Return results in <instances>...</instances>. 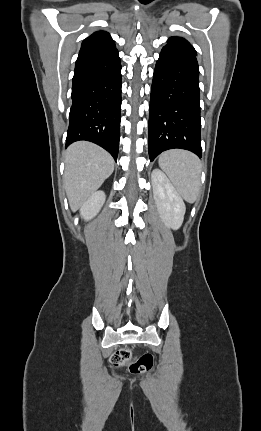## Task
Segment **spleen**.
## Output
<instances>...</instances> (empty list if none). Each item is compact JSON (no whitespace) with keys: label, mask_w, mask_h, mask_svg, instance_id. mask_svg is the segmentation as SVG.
<instances>
[{"label":"spleen","mask_w":261,"mask_h":431,"mask_svg":"<svg viewBox=\"0 0 261 431\" xmlns=\"http://www.w3.org/2000/svg\"><path fill=\"white\" fill-rule=\"evenodd\" d=\"M158 162L177 193L186 202H195L200 189L201 175L198 157L188 151L175 149L162 153Z\"/></svg>","instance_id":"3e777b00"}]
</instances>
